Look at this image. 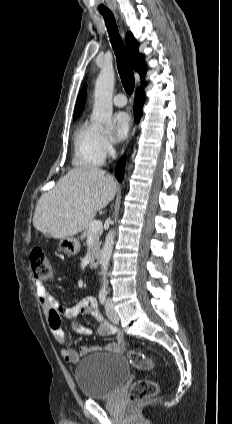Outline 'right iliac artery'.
Wrapping results in <instances>:
<instances>
[{
	"instance_id": "obj_1",
	"label": "right iliac artery",
	"mask_w": 232,
	"mask_h": 424,
	"mask_svg": "<svg viewBox=\"0 0 232 424\" xmlns=\"http://www.w3.org/2000/svg\"><path fill=\"white\" fill-rule=\"evenodd\" d=\"M99 302L104 305L106 302V293H100L99 294Z\"/></svg>"
}]
</instances>
